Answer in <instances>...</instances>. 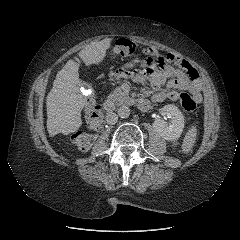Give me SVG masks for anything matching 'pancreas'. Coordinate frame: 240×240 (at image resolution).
<instances>
[{
    "instance_id": "obj_1",
    "label": "pancreas",
    "mask_w": 240,
    "mask_h": 240,
    "mask_svg": "<svg viewBox=\"0 0 240 240\" xmlns=\"http://www.w3.org/2000/svg\"><path fill=\"white\" fill-rule=\"evenodd\" d=\"M129 99V96L124 94L120 87H117L111 94H109L106 103L120 105L126 103Z\"/></svg>"
}]
</instances>
